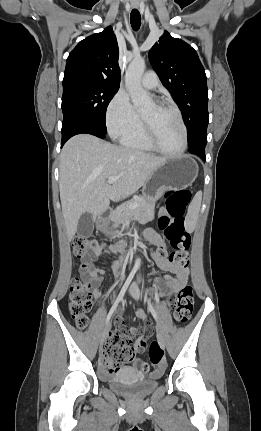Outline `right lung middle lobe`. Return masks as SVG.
Masks as SVG:
<instances>
[{
	"mask_svg": "<svg viewBox=\"0 0 261 431\" xmlns=\"http://www.w3.org/2000/svg\"><path fill=\"white\" fill-rule=\"evenodd\" d=\"M118 89L84 77L63 80V117L81 120L105 135L107 106Z\"/></svg>",
	"mask_w": 261,
	"mask_h": 431,
	"instance_id": "dd1d6c3e",
	"label": "right lung middle lobe"
}]
</instances>
